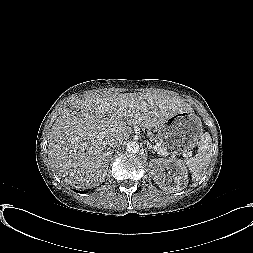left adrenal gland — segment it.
I'll list each match as a JSON object with an SVG mask.
<instances>
[{
	"label": "left adrenal gland",
	"instance_id": "left-adrenal-gland-1",
	"mask_svg": "<svg viewBox=\"0 0 253 253\" xmlns=\"http://www.w3.org/2000/svg\"><path fill=\"white\" fill-rule=\"evenodd\" d=\"M148 149H149L150 152H152L153 154H155V151L153 150V147L149 143H148Z\"/></svg>",
	"mask_w": 253,
	"mask_h": 253
}]
</instances>
